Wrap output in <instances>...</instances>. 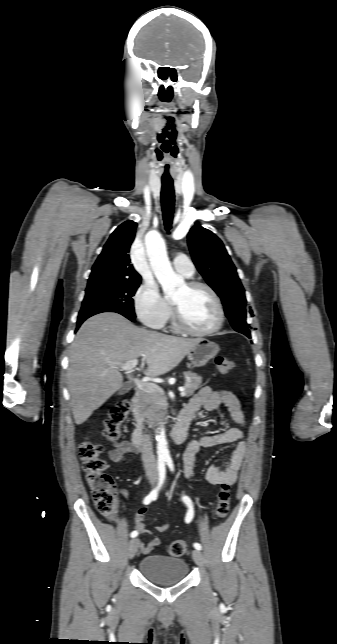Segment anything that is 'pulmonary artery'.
Segmentation results:
<instances>
[{"label": "pulmonary artery", "instance_id": "obj_1", "mask_svg": "<svg viewBox=\"0 0 337 644\" xmlns=\"http://www.w3.org/2000/svg\"><path fill=\"white\" fill-rule=\"evenodd\" d=\"M173 266L178 273L185 277H190L194 274V265L185 255L176 256L173 260Z\"/></svg>", "mask_w": 337, "mask_h": 644}]
</instances>
